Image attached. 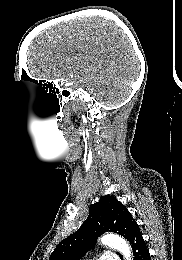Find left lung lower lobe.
Returning a JSON list of instances; mask_svg holds the SVG:
<instances>
[{"mask_svg": "<svg viewBox=\"0 0 182 260\" xmlns=\"http://www.w3.org/2000/svg\"><path fill=\"white\" fill-rule=\"evenodd\" d=\"M134 253V260H150V254L142 237L139 226H136L127 239Z\"/></svg>", "mask_w": 182, "mask_h": 260, "instance_id": "left-lung-lower-lobe-1", "label": "left lung lower lobe"}]
</instances>
